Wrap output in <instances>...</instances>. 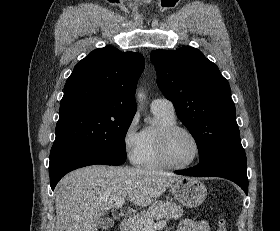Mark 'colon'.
I'll return each mask as SVG.
<instances>
[{"label":"colon","instance_id":"5ec220e1","mask_svg":"<svg viewBox=\"0 0 280 231\" xmlns=\"http://www.w3.org/2000/svg\"><path fill=\"white\" fill-rule=\"evenodd\" d=\"M218 230L219 231H227L226 224H225L224 220H222V219L219 221V229Z\"/></svg>","mask_w":280,"mask_h":231}]
</instances>
